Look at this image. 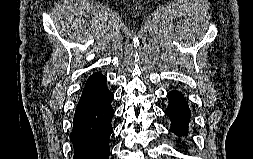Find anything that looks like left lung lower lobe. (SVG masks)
Segmentation results:
<instances>
[{
  "mask_svg": "<svg viewBox=\"0 0 253 159\" xmlns=\"http://www.w3.org/2000/svg\"><path fill=\"white\" fill-rule=\"evenodd\" d=\"M169 105L165 113L172 122L171 131L178 136L187 134L191 112L184 96L178 91H171L167 95Z\"/></svg>",
  "mask_w": 253,
  "mask_h": 159,
  "instance_id": "left-lung-lower-lobe-1",
  "label": "left lung lower lobe"
}]
</instances>
